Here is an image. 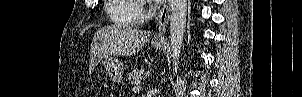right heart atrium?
I'll return each instance as SVG.
<instances>
[{"label": "right heart atrium", "mask_w": 302, "mask_h": 97, "mask_svg": "<svg viewBox=\"0 0 302 97\" xmlns=\"http://www.w3.org/2000/svg\"><path fill=\"white\" fill-rule=\"evenodd\" d=\"M145 18V13L143 10L140 11V20H143Z\"/></svg>", "instance_id": "right-heart-atrium-1"}]
</instances>
